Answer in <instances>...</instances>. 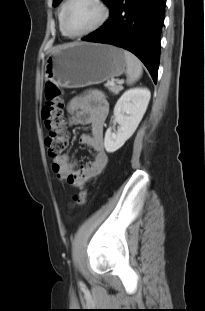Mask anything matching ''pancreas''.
<instances>
[{
	"label": "pancreas",
	"mask_w": 205,
	"mask_h": 311,
	"mask_svg": "<svg viewBox=\"0 0 205 311\" xmlns=\"http://www.w3.org/2000/svg\"><path fill=\"white\" fill-rule=\"evenodd\" d=\"M109 91H111L113 94H118L123 87L121 85H109L107 84Z\"/></svg>",
	"instance_id": "cf45deb5"
}]
</instances>
